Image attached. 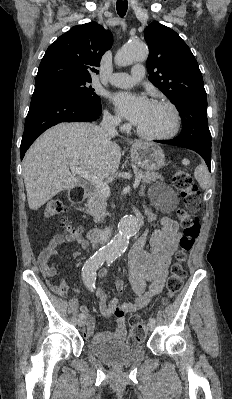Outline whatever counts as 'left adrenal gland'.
Masks as SVG:
<instances>
[{
  "label": "left adrenal gland",
  "instance_id": "left-adrenal-gland-1",
  "mask_svg": "<svg viewBox=\"0 0 232 399\" xmlns=\"http://www.w3.org/2000/svg\"><path fill=\"white\" fill-rule=\"evenodd\" d=\"M144 190H145V188H144V186H142V188H141V192H140L141 196H143V194H144Z\"/></svg>",
  "mask_w": 232,
  "mask_h": 399
}]
</instances>
